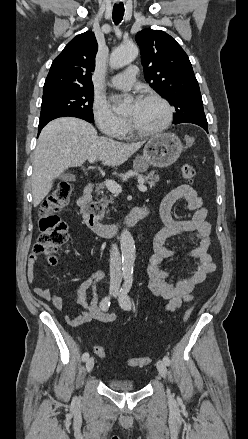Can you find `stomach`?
Wrapping results in <instances>:
<instances>
[{
	"label": "stomach",
	"instance_id": "obj_1",
	"mask_svg": "<svg viewBox=\"0 0 248 439\" xmlns=\"http://www.w3.org/2000/svg\"><path fill=\"white\" fill-rule=\"evenodd\" d=\"M182 149L183 145L175 134L163 133L152 137L146 143L142 158L147 164L164 168L177 161Z\"/></svg>",
	"mask_w": 248,
	"mask_h": 439
}]
</instances>
